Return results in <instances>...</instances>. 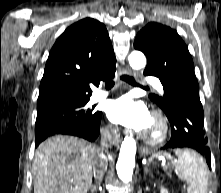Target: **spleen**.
I'll return each instance as SVG.
<instances>
[{"mask_svg": "<svg viewBox=\"0 0 221 193\" xmlns=\"http://www.w3.org/2000/svg\"><path fill=\"white\" fill-rule=\"evenodd\" d=\"M175 153V171L187 183V193H207L208 168L202 156L189 149H177Z\"/></svg>", "mask_w": 221, "mask_h": 193, "instance_id": "3e777b00", "label": "spleen"}]
</instances>
